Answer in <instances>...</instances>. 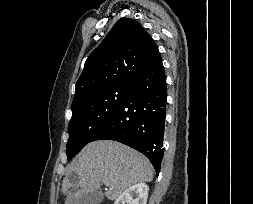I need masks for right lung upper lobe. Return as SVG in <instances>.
Here are the masks:
<instances>
[{"label": "right lung upper lobe", "mask_w": 253, "mask_h": 204, "mask_svg": "<svg viewBox=\"0 0 253 204\" xmlns=\"http://www.w3.org/2000/svg\"><path fill=\"white\" fill-rule=\"evenodd\" d=\"M158 53L154 40L136 20L119 19L87 58L72 105L105 88L131 84Z\"/></svg>", "instance_id": "cb5924a9"}]
</instances>
